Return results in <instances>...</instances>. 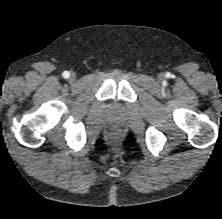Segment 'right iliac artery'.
Wrapping results in <instances>:
<instances>
[{
	"instance_id": "82829eb1",
	"label": "right iliac artery",
	"mask_w": 222,
	"mask_h": 219,
	"mask_svg": "<svg viewBox=\"0 0 222 219\" xmlns=\"http://www.w3.org/2000/svg\"><path fill=\"white\" fill-rule=\"evenodd\" d=\"M62 75L65 79H67L70 76V73L68 71H64Z\"/></svg>"
}]
</instances>
